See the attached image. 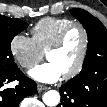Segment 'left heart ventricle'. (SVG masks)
Here are the masks:
<instances>
[{"instance_id":"b2bd125f","label":"left heart ventricle","mask_w":107,"mask_h":107,"mask_svg":"<svg viewBox=\"0 0 107 107\" xmlns=\"http://www.w3.org/2000/svg\"><path fill=\"white\" fill-rule=\"evenodd\" d=\"M83 36L79 29H73L67 36L64 45L55 51L47 53L48 61L55 62L63 71H70L76 64L81 52Z\"/></svg>"}]
</instances>
